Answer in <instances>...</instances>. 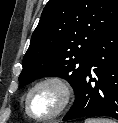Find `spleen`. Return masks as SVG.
Here are the masks:
<instances>
[{"mask_svg":"<svg viewBox=\"0 0 118 123\" xmlns=\"http://www.w3.org/2000/svg\"><path fill=\"white\" fill-rule=\"evenodd\" d=\"M84 123H116V121L108 118H87Z\"/></svg>","mask_w":118,"mask_h":123,"instance_id":"3e777b00","label":"spleen"}]
</instances>
